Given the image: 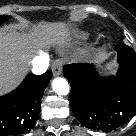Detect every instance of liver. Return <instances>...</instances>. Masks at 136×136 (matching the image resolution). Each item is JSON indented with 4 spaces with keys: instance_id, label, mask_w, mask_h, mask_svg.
<instances>
[{
    "instance_id": "obj_1",
    "label": "liver",
    "mask_w": 136,
    "mask_h": 136,
    "mask_svg": "<svg viewBox=\"0 0 136 136\" xmlns=\"http://www.w3.org/2000/svg\"><path fill=\"white\" fill-rule=\"evenodd\" d=\"M68 28L61 23L26 25L17 29L8 26L0 29V95L9 92L22 80L27 65L51 41L61 43L69 36Z\"/></svg>"
}]
</instances>
